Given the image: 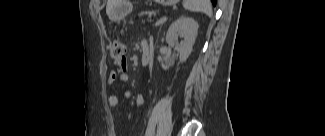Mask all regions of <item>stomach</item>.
Returning a JSON list of instances; mask_svg holds the SVG:
<instances>
[{"instance_id": "1", "label": "stomach", "mask_w": 325, "mask_h": 136, "mask_svg": "<svg viewBox=\"0 0 325 136\" xmlns=\"http://www.w3.org/2000/svg\"><path fill=\"white\" fill-rule=\"evenodd\" d=\"M156 2L164 6H169L176 4L178 0H156ZM130 10L131 5L128 1L118 0L112 12L113 21L121 20L130 12Z\"/></svg>"}]
</instances>
